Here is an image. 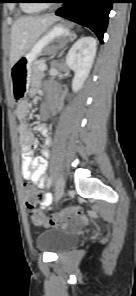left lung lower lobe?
<instances>
[{"label":"left lung lower lobe","instance_id":"1","mask_svg":"<svg viewBox=\"0 0 136 296\" xmlns=\"http://www.w3.org/2000/svg\"><path fill=\"white\" fill-rule=\"evenodd\" d=\"M63 7L55 13L90 28L103 42L108 14L114 0H64Z\"/></svg>","mask_w":136,"mask_h":296}]
</instances>
